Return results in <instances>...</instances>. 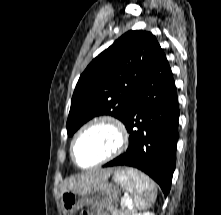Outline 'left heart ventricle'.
I'll return each mask as SVG.
<instances>
[{
	"label": "left heart ventricle",
	"instance_id": "obj_1",
	"mask_svg": "<svg viewBox=\"0 0 221 215\" xmlns=\"http://www.w3.org/2000/svg\"><path fill=\"white\" fill-rule=\"evenodd\" d=\"M116 136L104 126H96L80 136L74 147L77 162L82 166L91 165L106 156L115 146Z\"/></svg>",
	"mask_w": 221,
	"mask_h": 215
}]
</instances>
